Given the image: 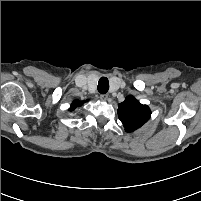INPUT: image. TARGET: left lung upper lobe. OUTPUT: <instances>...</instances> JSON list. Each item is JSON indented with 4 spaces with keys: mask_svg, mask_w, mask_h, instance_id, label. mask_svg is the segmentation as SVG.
<instances>
[{
    "mask_svg": "<svg viewBox=\"0 0 201 201\" xmlns=\"http://www.w3.org/2000/svg\"><path fill=\"white\" fill-rule=\"evenodd\" d=\"M118 116L127 132H133L144 125L150 118L151 111L133 96L126 97L118 106Z\"/></svg>",
    "mask_w": 201,
    "mask_h": 201,
    "instance_id": "left-lung-upper-lobe-1",
    "label": "left lung upper lobe"
}]
</instances>
